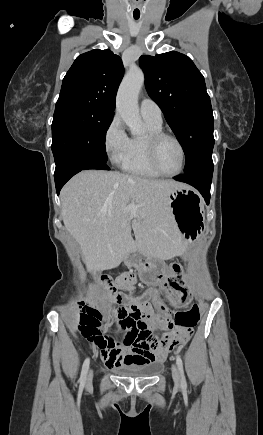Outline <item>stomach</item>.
<instances>
[{
  "label": "stomach",
  "mask_w": 263,
  "mask_h": 435,
  "mask_svg": "<svg viewBox=\"0 0 263 435\" xmlns=\"http://www.w3.org/2000/svg\"><path fill=\"white\" fill-rule=\"evenodd\" d=\"M169 205L175 220V233L194 241L199 233L205 232L207 216H202V202L198 193L184 185L170 192ZM128 267L140 269L143 282H150L152 288L158 287L160 297L167 310H185L189 302V292L185 285L186 270L184 260H175L174 264H163L162 260L141 251L133 252L125 259Z\"/></svg>",
  "instance_id": "1"
}]
</instances>
